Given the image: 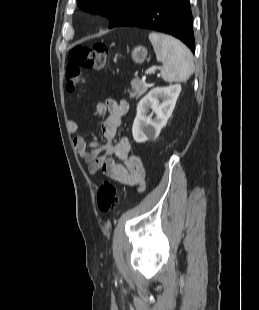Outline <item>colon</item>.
Masks as SVG:
<instances>
[{
    "label": "colon",
    "instance_id": "5ec220e1",
    "mask_svg": "<svg viewBox=\"0 0 259 310\" xmlns=\"http://www.w3.org/2000/svg\"><path fill=\"white\" fill-rule=\"evenodd\" d=\"M109 49L105 44L94 43L80 46L69 53L67 66V86L70 91L80 88L84 82L83 69L102 70L107 66ZM120 192L114 184L106 180L97 192V206L102 213L109 212L119 201Z\"/></svg>",
    "mask_w": 259,
    "mask_h": 310
}]
</instances>
